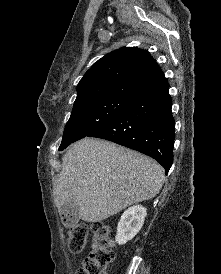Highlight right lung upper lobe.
I'll use <instances>...</instances> for the list:
<instances>
[{
  "label": "right lung upper lobe",
  "instance_id": "right-lung-upper-lobe-1",
  "mask_svg": "<svg viewBox=\"0 0 221 274\" xmlns=\"http://www.w3.org/2000/svg\"><path fill=\"white\" fill-rule=\"evenodd\" d=\"M165 79L142 49L123 47L98 60L80 80L76 100L92 97L135 99Z\"/></svg>",
  "mask_w": 221,
  "mask_h": 274
}]
</instances>
